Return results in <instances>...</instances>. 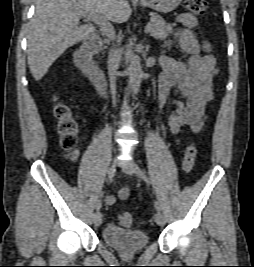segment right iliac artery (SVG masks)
<instances>
[{
	"label": "right iliac artery",
	"mask_w": 254,
	"mask_h": 267,
	"mask_svg": "<svg viewBox=\"0 0 254 267\" xmlns=\"http://www.w3.org/2000/svg\"><path fill=\"white\" fill-rule=\"evenodd\" d=\"M115 168L113 166V169L108 172V183H110L114 177ZM101 208V200H98L96 203V209L99 210Z\"/></svg>",
	"instance_id": "obj_1"
}]
</instances>
